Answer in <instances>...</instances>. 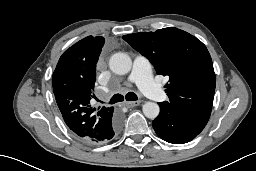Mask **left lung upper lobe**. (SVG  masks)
Segmentation results:
<instances>
[{
  "instance_id": "1",
  "label": "left lung upper lobe",
  "mask_w": 256,
  "mask_h": 171,
  "mask_svg": "<svg viewBox=\"0 0 256 171\" xmlns=\"http://www.w3.org/2000/svg\"><path fill=\"white\" fill-rule=\"evenodd\" d=\"M123 39L147 57L158 74L169 77L164 86L169 102L163 104L208 122L216 80L211 56L200 40L174 27L124 35Z\"/></svg>"
}]
</instances>
